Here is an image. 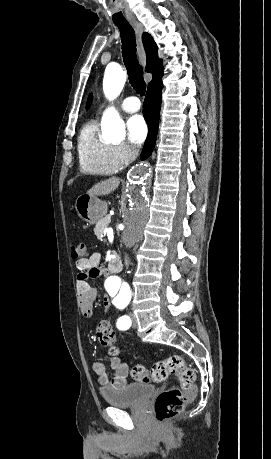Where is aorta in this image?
<instances>
[{"instance_id":"1","label":"aorta","mask_w":271,"mask_h":459,"mask_svg":"<svg viewBox=\"0 0 271 459\" xmlns=\"http://www.w3.org/2000/svg\"><path fill=\"white\" fill-rule=\"evenodd\" d=\"M126 81L122 68H108L103 79V91L109 100H114L121 93ZM102 134L110 140H121L125 134V126L118 112L108 108L101 121ZM151 167L147 163L133 166L127 174V182L120 199L122 215V240L126 247L131 248L138 243L144 234L145 227L151 216ZM104 286L109 293L128 289V285L115 274L106 278Z\"/></svg>"}]
</instances>
